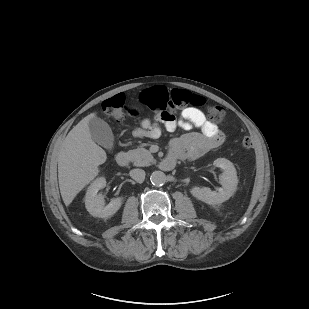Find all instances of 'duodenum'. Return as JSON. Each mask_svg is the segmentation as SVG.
<instances>
[{
    "label": "duodenum",
    "instance_id": "duodenum-1",
    "mask_svg": "<svg viewBox=\"0 0 309 309\" xmlns=\"http://www.w3.org/2000/svg\"><path fill=\"white\" fill-rule=\"evenodd\" d=\"M116 162L119 166L126 167L130 162L128 154L124 151L119 152L116 156ZM174 166L175 161L173 159L166 158L161 162V167L164 170H171Z\"/></svg>",
    "mask_w": 309,
    "mask_h": 309
}]
</instances>
